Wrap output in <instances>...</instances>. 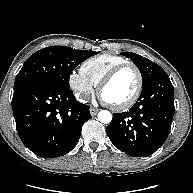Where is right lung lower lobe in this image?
Instances as JSON below:
<instances>
[{"label":"right lung lower lobe","mask_w":193,"mask_h":193,"mask_svg":"<svg viewBox=\"0 0 193 193\" xmlns=\"http://www.w3.org/2000/svg\"><path fill=\"white\" fill-rule=\"evenodd\" d=\"M12 108L22 142L43 158L70 152L91 118L89 106L79 103L70 88L48 82L14 88Z\"/></svg>","instance_id":"right-lung-lower-lobe-1"}]
</instances>
